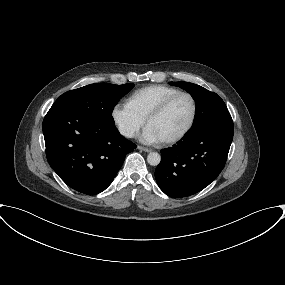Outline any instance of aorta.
Instances as JSON below:
<instances>
[{"mask_svg": "<svg viewBox=\"0 0 285 285\" xmlns=\"http://www.w3.org/2000/svg\"><path fill=\"white\" fill-rule=\"evenodd\" d=\"M161 161V156L157 152H150L147 156V162L151 166H157Z\"/></svg>", "mask_w": 285, "mask_h": 285, "instance_id": "1", "label": "aorta"}]
</instances>
